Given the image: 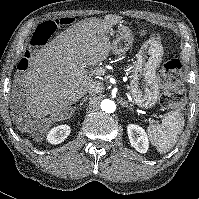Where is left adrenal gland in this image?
<instances>
[{"label":"left adrenal gland","instance_id":"1","mask_svg":"<svg viewBox=\"0 0 199 199\" xmlns=\"http://www.w3.org/2000/svg\"><path fill=\"white\" fill-rule=\"evenodd\" d=\"M121 105H122L123 107H127L129 110L132 111V108L129 106L128 102L123 101V102L121 103Z\"/></svg>","mask_w":199,"mask_h":199}]
</instances>
